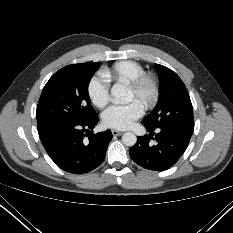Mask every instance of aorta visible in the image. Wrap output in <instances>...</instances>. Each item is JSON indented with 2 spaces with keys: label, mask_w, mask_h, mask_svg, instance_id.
<instances>
[{
  "label": "aorta",
  "mask_w": 233,
  "mask_h": 233,
  "mask_svg": "<svg viewBox=\"0 0 233 233\" xmlns=\"http://www.w3.org/2000/svg\"><path fill=\"white\" fill-rule=\"evenodd\" d=\"M111 95L120 101L127 102L131 99L128 88L122 84L116 83L111 88ZM137 141V137L132 132H126L122 136V142L126 146H134Z\"/></svg>",
  "instance_id": "762f6f07"
}]
</instances>
